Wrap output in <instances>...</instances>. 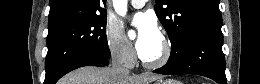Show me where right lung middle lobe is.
I'll return each mask as SVG.
<instances>
[{
	"label": "right lung middle lobe",
	"mask_w": 260,
	"mask_h": 84,
	"mask_svg": "<svg viewBox=\"0 0 260 84\" xmlns=\"http://www.w3.org/2000/svg\"><path fill=\"white\" fill-rule=\"evenodd\" d=\"M45 79L69 61L93 56L110 58L106 37V11L48 28Z\"/></svg>",
	"instance_id": "right-lung-middle-lobe-1"
}]
</instances>
